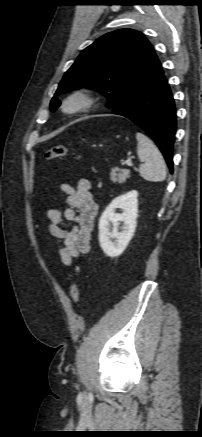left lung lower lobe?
<instances>
[{"mask_svg":"<svg viewBox=\"0 0 202 437\" xmlns=\"http://www.w3.org/2000/svg\"><path fill=\"white\" fill-rule=\"evenodd\" d=\"M111 113L124 116L141 127L155 141L173 173L176 108L163 71L153 82L115 107Z\"/></svg>","mask_w":202,"mask_h":437,"instance_id":"0a47b994","label":"left lung lower lobe"}]
</instances>
